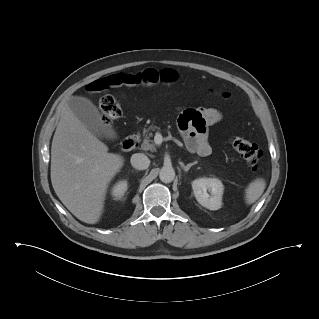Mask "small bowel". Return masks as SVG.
I'll return each instance as SVG.
<instances>
[{
	"mask_svg": "<svg viewBox=\"0 0 319 319\" xmlns=\"http://www.w3.org/2000/svg\"><path fill=\"white\" fill-rule=\"evenodd\" d=\"M177 79L178 74L170 69L161 71L145 69L138 75L123 76L116 74L95 80L87 88L91 92H100L122 84L127 86L139 84L149 87L158 82L172 84ZM221 119V113L214 108H187L182 110L178 119V127L187 149L202 157L209 156L212 148L208 142L207 130L208 127L218 123Z\"/></svg>",
	"mask_w": 319,
	"mask_h": 319,
	"instance_id": "c3829d8e",
	"label": "small bowel"
}]
</instances>
